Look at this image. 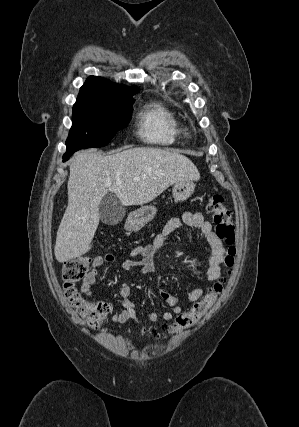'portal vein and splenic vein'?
<instances>
[{
	"instance_id": "portal-vein-and-splenic-vein-1",
	"label": "portal vein and splenic vein",
	"mask_w": 299,
	"mask_h": 427,
	"mask_svg": "<svg viewBox=\"0 0 299 427\" xmlns=\"http://www.w3.org/2000/svg\"><path fill=\"white\" fill-rule=\"evenodd\" d=\"M134 180H137V179L135 178ZM105 185H106V186H110V185H111L110 181H107V182L105 183Z\"/></svg>"
}]
</instances>
